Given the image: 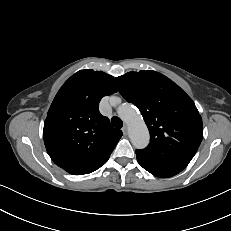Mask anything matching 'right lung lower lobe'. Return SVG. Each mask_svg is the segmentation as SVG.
Here are the masks:
<instances>
[{"label":"right lung lower lobe","mask_w":231,"mask_h":231,"mask_svg":"<svg viewBox=\"0 0 231 231\" xmlns=\"http://www.w3.org/2000/svg\"><path fill=\"white\" fill-rule=\"evenodd\" d=\"M105 162H106V161H105ZM105 162H104V163H105ZM104 163H103V164H104ZM103 164H102V165H103ZM102 165H101V166H102ZM101 166H99L98 168H100ZM98 168H97V169H98ZM97 169H95V170H97ZM95 170H94V171H95ZM92 172H93V171H92ZM90 173H91V172H90Z\"/></svg>","instance_id":"right-lung-lower-lobe-1"}]
</instances>
